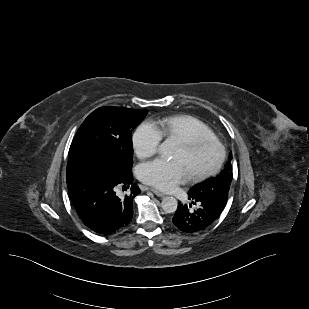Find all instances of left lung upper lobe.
Here are the masks:
<instances>
[{
    "label": "left lung upper lobe",
    "instance_id": "left-lung-upper-lobe-1",
    "mask_svg": "<svg viewBox=\"0 0 309 309\" xmlns=\"http://www.w3.org/2000/svg\"><path fill=\"white\" fill-rule=\"evenodd\" d=\"M232 152L229 154L228 162L225 169L219 176L193 186L190 191L194 194L203 195L204 197H213L221 200H227L228 191L233 178L232 173Z\"/></svg>",
    "mask_w": 309,
    "mask_h": 309
}]
</instances>
